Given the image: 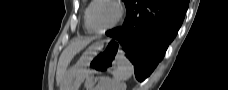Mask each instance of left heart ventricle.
<instances>
[{"label":"left heart ventricle","mask_w":228,"mask_h":90,"mask_svg":"<svg viewBox=\"0 0 228 90\" xmlns=\"http://www.w3.org/2000/svg\"><path fill=\"white\" fill-rule=\"evenodd\" d=\"M116 17L115 7L107 2L96 3L90 13V23L97 30L104 29L112 23Z\"/></svg>","instance_id":"b2bd125f"}]
</instances>
